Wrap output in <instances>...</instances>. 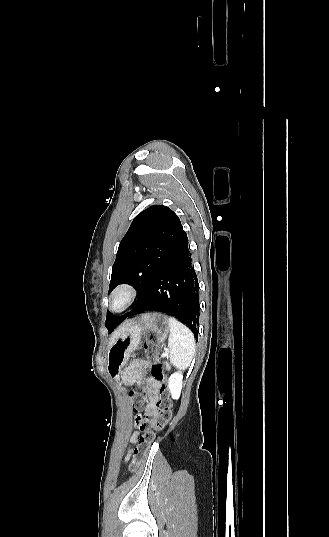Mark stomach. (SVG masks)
<instances>
[{
    "mask_svg": "<svg viewBox=\"0 0 329 537\" xmlns=\"http://www.w3.org/2000/svg\"><path fill=\"white\" fill-rule=\"evenodd\" d=\"M152 333L158 342L164 341L169 333V317L161 313H147L131 325L113 342L107 352V371L111 377H119L131 353L141 338Z\"/></svg>",
    "mask_w": 329,
    "mask_h": 537,
    "instance_id": "stomach-1",
    "label": "stomach"
}]
</instances>
